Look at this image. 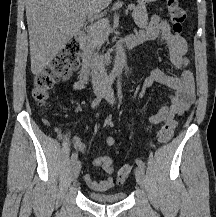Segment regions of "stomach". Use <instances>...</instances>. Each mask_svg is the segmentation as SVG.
Wrapping results in <instances>:
<instances>
[{"instance_id":"0dacf381","label":"stomach","mask_w":216,"mask_h":217,"mask_svg":"<svg viewBox=\"0 0 216 217\" xmlns=\"http://www.w3.org/2000/svg\"><path fill=\"white\" fill-rule=\"evenodd\" d=\"M143 3H152V2H155L157 0H141Z\"/></svg>"}]
</instances>
